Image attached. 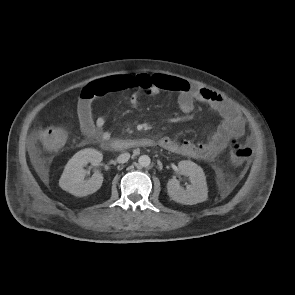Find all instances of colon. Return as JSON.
<instances>
[{
	"mask_svg": "<svg viewBox=\"0 0 295 295\" xmlns=\"http://www.w3.org/2000/svg\"><path fill=\"white\" fill-rule=\"evenodd\" d=\"M38 138L48 150H57L65 143V133L58 128H46L38 133ZM228 154L232 163L243 170L252 156V150L239 140L232 139Z\"/></svg>",
	"mask_w": 295,
	"mask_h": 295,
	"instance_id": "1",
	"label": "colon"
}]
</instances>
